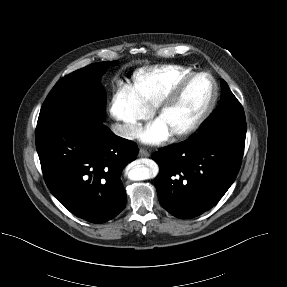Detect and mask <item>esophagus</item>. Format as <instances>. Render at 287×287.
<instances>
[{"mask_svg":"<svg viewBox=\"0 0 287 287\" xmlns=\"http://www.w3.org/2000/svg\"><path fill=\"white\" fill-rule=\"evenodd\" d=\"M139 157H149V152L146 151L145 149H140L139 150Z\"/></svg>","mask_w":287,"mask_h":287,"instance_id":"1","label":"esophagus"}]
</instances>
